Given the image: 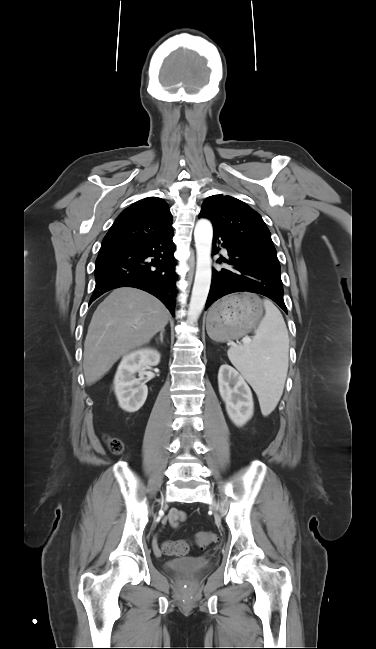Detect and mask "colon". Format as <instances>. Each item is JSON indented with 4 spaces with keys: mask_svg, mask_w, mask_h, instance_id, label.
<instances>
[{
    "mask_svg": "<svg viewBox=\"0 0 376 649\" xmlns=\"http://www.w3.org/2000/svg\"><path fill=\"white\" fill-rule=\"evenodd\" d=\"M106 442L113 454L122 453L124 446L119 438L108 436ZM195 540L200 548H205L213 541V535L208 531H200ZM163 550L168 554L182 555L187 551V544L182 541H168L163 544Z\"/></svg>",
    "mask_w": 376,
    "mask_h": 649,
    "instance_id": "5ec220e1",
    "label": "colon"
}]
</instances>
